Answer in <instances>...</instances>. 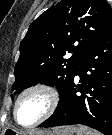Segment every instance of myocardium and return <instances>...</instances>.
Instances as JSON below:
<instances>
[{
    "label": "myocardium",
    "mask_w": 112,
    "mask_h": 135,
    "mask_svg": "<svg viewBox=\"0 0 112 135\" xmlns=\"http://www.w3.org/2000/svg\"><path fill=\"white\" fill-rule=\"evenodd\" d=\"M37 91L43 92L47 95L48 100H49L48 109L46 110L44 115L42 117H40L37 121H35L29 125H24V124L20 123L17 118V108H18L19 102L25 95H27L31 92H37ZM59 102H60L59 93L53 86L46 84V83L33 84V85L27 87L26 89H24L17 97V99L14 103V107H13V118H14L15 122L23 128L36 127V126L40 125L41 123H43L44 121H46L47 119H49L54 114V112L56 111V109L59 105Z\"/></svg>",
    "instance_id": "f54148a6"
}]
</instances>
